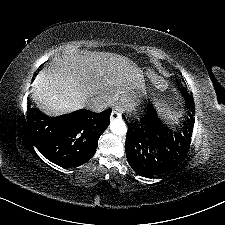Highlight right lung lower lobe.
Listing matches in <instances>:
<instances>
[{
	"label": "right lung lower lobe",
	"instance_id": "right-lung-lower-lobe-1",
	"mask_svg": "<svg viewBox=\"0 0 225 225\" xmlns=\"http://www.w3.org/2000/svg\"><path fill=\"white\" fill-rule=\"evenodd\" d=\"M108 124L107 113L98 115L78 110L48 117L34 108L28 110L27 127L31 140L43 156L66 168L78 167L93 157L99 137Z\"/></svg>",
	"mask_w": 225,
	"mask_h": 225
}]
</instances>
